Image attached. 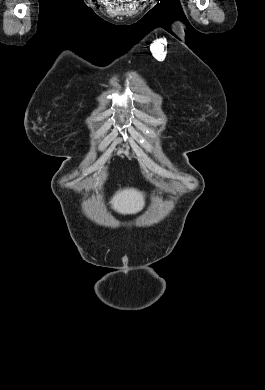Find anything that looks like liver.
<instances>
[{
  "instance_id": "6515ba94",
  "label": "liver",
  "mask_w": 265,
  "mask_h": 390,
  "mask_svg": "<svg viewBox=\"0 0 265 390\" xmlns=\"http://www.w3.org/2000/svg\"><path fill=\"white\" fill-rule=\"evenodd\" d=\"M110 203L112 208L120 214H135L141 211L145 204L143 194L133 188L118 191Z\"/></svg>"
}]
</instances>
